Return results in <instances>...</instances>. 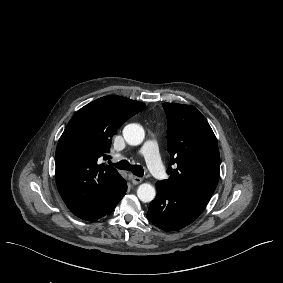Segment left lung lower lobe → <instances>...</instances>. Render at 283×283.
<instances>
[{"label": "left lung lower lobe", "instance_id": "obj_1", "mask_svg": "<svg viewBox=\"0 0 283 283\" xmlns=\"http://www.w3.org/2000/svg\"><path fill=\"white\" fill-rule=\"evenodd\" d=\"M157 195L150 203L147 218L165 231H177L192 223L207 203L190 194L156 184Z\"/></svg>", "mask_w": 283, "mask_h": 283}]
</instances>
